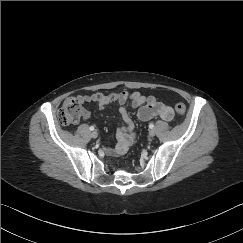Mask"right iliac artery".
I'll use <instances>...</instances> for the list:
<instances>
[{
	"mask_svg": "<svg viewBox=\"0 0 243 243\" xmlns=\"http://www.w3.org/2000/svg\"><path fill=\"white\" fill-rule=\"evenodd\" d=\"M90 131H93L94 130V126H90Z\"/></svg>",
	"mask_w": 243,
	"mask_h": 243,
	"instance_id": "obj_1",
	"label": "right iliac artery"
}]
</instances>
